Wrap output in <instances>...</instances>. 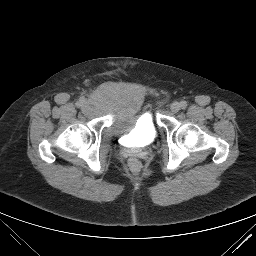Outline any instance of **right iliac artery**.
I'll use <instances>...</instances> for the list:
<instances>
[{
    "mask_svg": "<svg viewBox=\"0 0 256 256\" xmlns=\"http://www.w3.org/2000/svg\"><path fill=\"white\" fill-rule=\"evenodd\" d=\"M84 102V98H80L79 101H77L76 106L80 107L82 106V103Z\"/></svg>",
    "mask_w": 256,
    "mask_h": 256,
    "instance_id": "right-iliac-artery-1",
    "label": "right iliac artery"
}]
</instances>
